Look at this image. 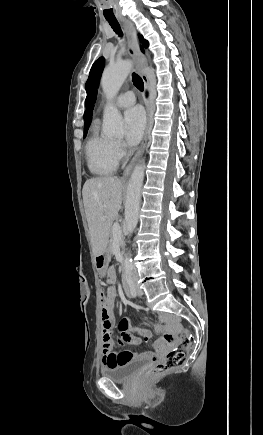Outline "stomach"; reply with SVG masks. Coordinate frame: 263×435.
Segmentation results:
<instances>
[{
    "label": "stomach",
    "instance_id": "stomach-1",
    "mask_svg": "<svg viewBox=\"0 0 263 435\" xmlns=\"http://www.w3.org/2000/svg\"><path fill=\"white\" fill-rule=\"evenodd\" d=\"M95 263L97 266L98 271L101 272V274H104V269L107 267L109 263V255L105 251L95 257Z\"/></svg>",
    "mask_w": 263,
    "mask_h": 435
}]
</instances>
